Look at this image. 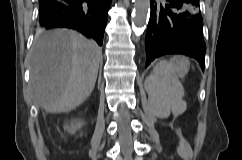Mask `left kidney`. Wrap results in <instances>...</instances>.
Wrapping results in <instances>:
<instances>
[{
  "label": "left kidney",
  "mask_w": 242,
  "mask_h": 160,
  "mask_svg": "<svg viewBox=\"0 0 242 160\" xmlns=\"http://www.w3.org/2000/svg\"><path fill=\"white\" fill-rule=\"evenodd\" d=\"M170 109L171 108H162L160 107V105L156 104L153 106V113L158 118H167L170 115ZM185 109H186V103L181 98H179L174 107V112L182 113L185 111Z\"/></svg>",
  "instance_id": "obj_1"
}]
</instances>
